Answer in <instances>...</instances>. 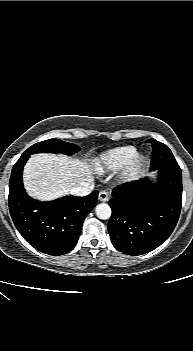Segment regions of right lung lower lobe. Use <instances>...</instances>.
Here are the masks:
<instances>
[{
	"label": "right lung lower lobe",
	"instance_id": "obj_1",
	"mask_svg": "<svg viewBox=\"0 0 193 351\" xmlns=\"http://www.w3.org/2000/svg\"><path fill=\"white\" fill-rule=\"evenodd\" d=\"M30 155L15 163L9 183V210L23 238L37 250L53 256L76 245L83 221L97 203L98 191L84 197L66 196L51 202L30 198L22 183L23 167Z\"/></svg>",
	"mask_w": 193,
	"mask_h": 351
}]
</instances>
